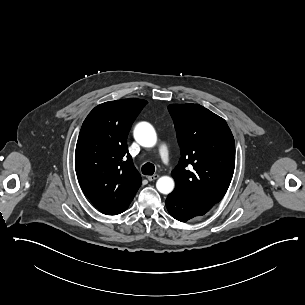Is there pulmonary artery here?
Returning <instances> with one entry per match:
<instances>
[{
	"instance_id": "pulmonary-artery-1",
	"label": "pulmonary artery",
	"mask_w": 305,
	"mask_h": 305,
	"mask_svg": "<svg viewBox=\"0 0 305 305\" xmlns=\"http://www.w3.org/2000/svg\"><path fill=\"white\" fill-rule=\"evenodd\" d=\"M158 156L160 159H162V164L164 166H167L170 163V160L168 159L170 156L169 148L163 143H161L158 147ZM168 169L170 171H173L175 169V166L173 164H170L168 166Z\"/></svg>"
}]
</instances>
